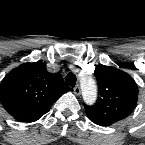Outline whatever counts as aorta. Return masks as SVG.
Masks as SVG:
<instances>
[{"label": "aorta", "instance_id": "762f6f07", "mask_svg": "<svg viewBox=\"0 0 145 145\" xmlns=\"http://www.w3.org/2000/svg\"><path fill=\"white\" fill-rule=\"evenodd\" d=\"M81 90L83 99L87 104L95 102L97 97V86L94 79L91 77L83 78L81 80Z\"/></svg>", "mask_w": 145, "mask_h": 145}]
</instances>
